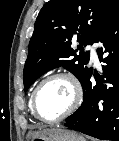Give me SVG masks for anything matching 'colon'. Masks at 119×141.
<instances>
[{
    "instance_id": "1",
    "label": "colon",
    "mask_w": 119,
    "mask_h": 141,
    "mask_svg": "<svg viewBox=\"0 0 119 141\" xmlns=\"http://www.w3.org/2000/svg\"><path fill=\"white\" fill-rule=\"evenodd\" d=\"M36 141H43L42 139H37Z\"/></svg>"
}]
</instances>
